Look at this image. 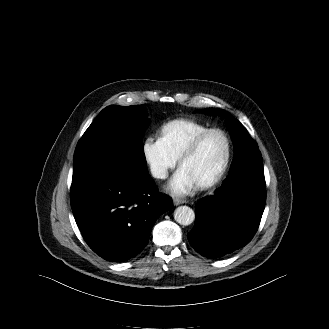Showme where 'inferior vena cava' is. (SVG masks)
Here are the masks:
<instances>
[{
  "label": "inferior vena cava",
  "mask_w": 329,
  "mask_h": 329,
  "mask_svg": "<svg viewBox=\"0 0 329 329\" xmlns=\"http://www.w3.org/2000/svg\"><path fill=\"white\" fill-rule=\"evenodd\" d=\"M151 173L155 178H166L167 170L160 166H155L151 168Z\"/></svg>",
  "instance_id": "obj_1"
}]
</instances>
